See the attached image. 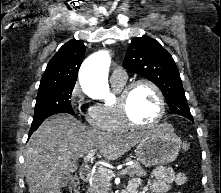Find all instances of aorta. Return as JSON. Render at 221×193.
I'll use <instances>...</instances> for the list:
<instances>
[{
    "label": "aorta",
    "mask_w": 221,
    "mask_h": 193,
    "mask_svg": "<svg viewBox=\"0 0 221 193\" xmlns=\"http://www.w3.org/2000/svg\"><path fill=\"white\" fill-rule=\"evenodd\" d=\"M108 65V54L104 51H100L91 55L81 66V85L83 89L95 99H102L109 95L106 78Z\"/></svg>",
    "instance_id": "1"
}]
</instances>
